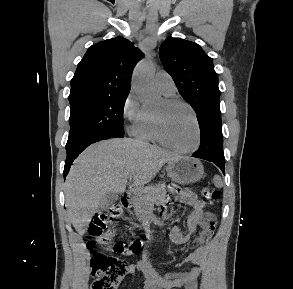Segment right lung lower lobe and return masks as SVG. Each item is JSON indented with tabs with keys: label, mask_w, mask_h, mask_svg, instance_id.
Here are the masks:
<instances>
[{
	"label": "right lung lower lobe",
	"mask_w": 293,
	"mask_h": 289,
	"mask_svg": "<svg viewBox=\"0 0 293 289\" xmlns=\"http://www.w3.org/2000/svg\"><path fill=\"white\" fill-rule=\"evenodd\" d=\"M116 137H124V134L117 133V132H104V133H100V134L91 136L89 138H86V139L81 140L79 142H76V143H74V144H72L70 146H66L67 158H66V161H65L64 173H63L64 178L68 174L69 169H70L71 164L74 161V159L85 148H87L89 145H91V144H93L95 142L105 140V139H109V138H116Z\"/></svg>",
	"instance_id": "98d812e1"
}]
</instances>
